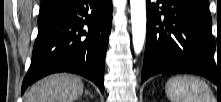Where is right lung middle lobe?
Returning a JSON list of instances; mask_svg holds the SVG:
<instances>
[{"label": "right lung middle lobe", "mask_w": 221, "mask_h": 102, "mask_svg": "<svg viewBox=\"0 0 221 102\" xmlns=\"http://www.w3.org/2000/svg\"><path fill=\"white\" fill-rule=\"evenodd\" d=\"M53 11L54 10H40L38 20L44 18L45 16H47L48 14H50Z\"/></svg>", "instance_id": "obj_1"}]
</instances>
